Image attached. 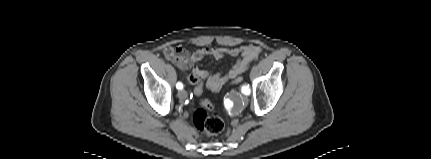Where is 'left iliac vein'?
I'll use <instances>...</instances> for the list:
<instances>
[{
	"instance_id": "obj_1",
	"label": "left iliac vein",
	"mask_w": 431,
	"mask_h": 159,
	"mask_svg": "<svg viewBox=\"0 0 431 159\" xmlns=\"http://www.w3.org/2000/svg\"><path fill=\"white\" fill-rule=\"evenodd\" d=\"M242 102H243V104H247L248 103V98L246 96H244L242 98Z\"/></svg>"
}]
</instances>
